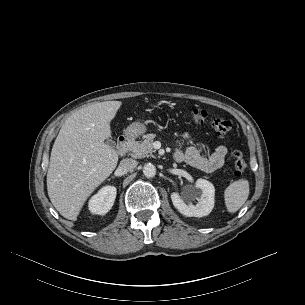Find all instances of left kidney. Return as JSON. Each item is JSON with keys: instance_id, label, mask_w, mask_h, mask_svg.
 <instances>
[{"instance_id": "5707ae66", "label": "left kidney", "mask_w": 305, "mask_h": 305, "mask_svg": "<svg viewBox=\"0 0 305 305\" xmlns=\"http://www.w3.org/2000/svg\"><path fill=\"white\" fill-rule=\"evenodd\" d=\"M201 193L194 196L198 203L193 204L190 197H181L177 192L171 194L172 203L175 208L187 217H203L211 213L214 207L215 188L213 184L205 179H197L194 185Z\"/></svg>"}]
</instances>
